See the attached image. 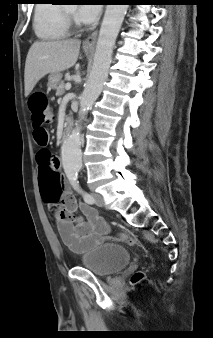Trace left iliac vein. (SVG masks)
<instances>
[{
	"instance_id": "4c4485c4",
	"label": "left iliac vein",
	"mask_w": 213,
	"mask_h": 338,
	"mask_svg": "<svg viewBox=\"0 0 213 338\" xmlns=\"http://www.w3.org/2000/svg\"><path fill=\"white\" fill-rule=\"evenodd\" d=\"M93 197L95 200V204L99 207H103L104 206V200L101 194L99 193H93Z\"/></svg>"
}]
</instances>
